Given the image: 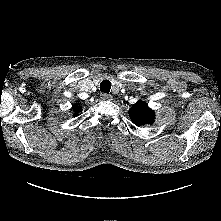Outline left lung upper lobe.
<instances>
[{
	"instance_id": "1",
	"label": "left lung upper lobe",
	"mask_w": 221,
	"mask_h": 221,
	"mask_svg": "<svg viewBox=\"0 0 221 221\" xmlns=\"http://www.w3.org/2000/svg\"><path fill=\"white\" fill-rule=\"evenodd\" d=\"M129 117L136 126L151 125L155 114L143 101H138L129 109Z\"/></svg>"
}]
</instances>
